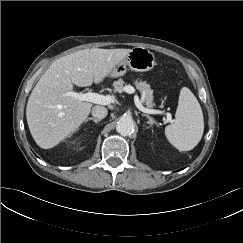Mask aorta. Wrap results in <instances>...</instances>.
<instances>
[{"mask_svg": "<svg viewBox=\"0 0 243 243\" xmlns=\"http://www.w3.org/2000/svg\"><path fill=\"white\" fill-rule=\"evenodd\" d=\"M116 131L123 135H130L134 131V122L129 116H122L116 125Z\"/></svg>", "mask_w": 243, "mask_h": 243, "instance_id": "762f6f07", "label": "aorta"}]
</instances>
